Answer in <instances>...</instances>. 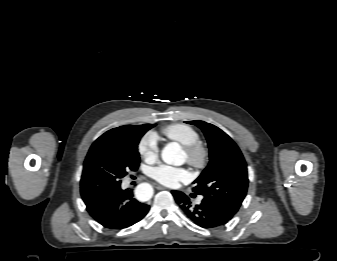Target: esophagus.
<instances>
[{
  "label": "esophagus",
  "mask_w": 337,
  "mask_h": 261,
  "mask_svg": "<svg viewBox=\"0 0 337 261\" xmlns=\"http://www.w3.org/2000/svg\"><path fill=\"white\" fill-rule=\"evenodd\" d=\"M155 187H156V189H158V190H163V189H165V187L162 186V185H160V184H155Z\"/></svg>",
  "instance_id": "1"
}]
</instances>
